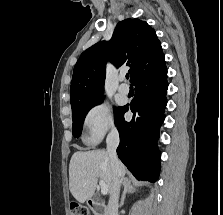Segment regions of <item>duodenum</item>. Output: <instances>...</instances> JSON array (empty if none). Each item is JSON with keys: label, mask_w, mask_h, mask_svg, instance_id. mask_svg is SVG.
<instances>
[{"label": "duodenum", "mask_w": 223, "mask_h": 215, "mask_svg": "<svg viewBox=\"0 0 223 215\" xmlns=\"http://www.w3.org/2000/svg\"><path fill=\"white\" fill-rule=\"evenodd\" d=\"M88 206L92 215H107L104 202L102 200H89Z\"/></svg>", "instance_id": "obj_1"}]
</instances>
